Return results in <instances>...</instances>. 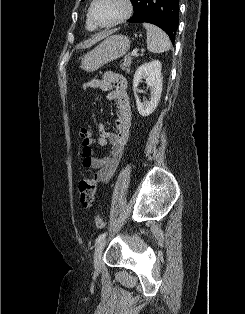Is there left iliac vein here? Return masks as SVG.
<instances>
[{
    "label": "left iliac vein",
    "mask_w": 245,
    "mask_h": 314,
    "mask_svg": "<svg viewBox=\"0 0 245 314\" xmlns=\"http://www.w3.org/2000/svg\"><path fill=\"white\" fill-rule=\"evenodd\" d=\"M105 244H106V238L102 239L97 244L95 251H94V267L97 271H100V269H101L102 251L104 249Z\"/></svg>",
    "instance_id": "obj_1"
}]
</instances>
